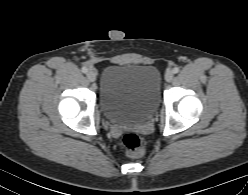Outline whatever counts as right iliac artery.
Returning <instances> with one entry per match:
<instances>
[{"mask_svg":"<svg viewBox=\"0 0 248 195\" xmlns=\"http://www.w3.org/2000/svg\"><path fill=\"white\" fill-rule=\"evenodd\" d=\"M81 71H82L83 73H87L88 69H87L86 67H82Z\"/></svg>","mask_w":248,"mask_h":195,"instance_id":"obj_1","label":"right iliac artery"}]
</instances>
